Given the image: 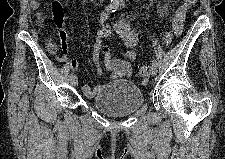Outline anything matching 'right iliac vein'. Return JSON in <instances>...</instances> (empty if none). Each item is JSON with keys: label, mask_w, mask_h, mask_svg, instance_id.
Instances as JSON below:
<instances>
[{"label": "right iliac vein", "mask_w": 225, "mask_h": 159, "mask_svg": "<svg viewBox=\"0 0 225 159\" xmlns=\"http://www.w3.org/2000/svg\"><path fill=\"white\" fill-rule=\"evenodd\" d=\"M70 84L72 86H76L78 84V79H77V77L75 75L70 77Z\"/></svg>", "instance_id": "63e3f726"}]
</instances>
